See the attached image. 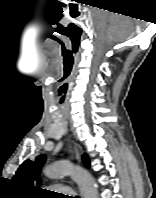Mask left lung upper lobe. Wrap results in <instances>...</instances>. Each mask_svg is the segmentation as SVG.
I'll list each match as a JSON object with an SVG mask.
<instances>
[{
    "label": "left lung upper lobe",
    "instance_id": "left-lung-upper-lobe-1",
    "mask_svg": "<svg viewBox=\"0 0 156 198\" xmlns=\"http://www.w3.org/2000/svg\"><path fill=\"white\" fill-rule=\"evenodd\" d=\"M45 161L46 157L44 155L38 156L35 160L28 159L24 161L16 171L12 180L22 186L33 187L36 181H40V169ZM83 162L86 166H90L86 154L83 156Z\"/></svg>",
    "mask_w": 156,
    "mask_h": 198
}]
</instances>
